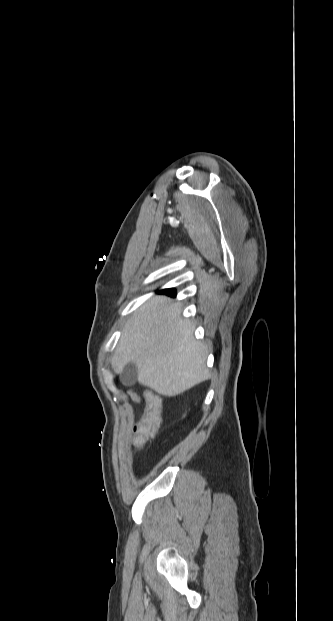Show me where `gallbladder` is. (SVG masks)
<instances>
[{
    "instance_id": "1",
    "label": "gallbladder",
    "mask_w": 333,
    "mask_h": 621,
    "mask_svg": "<svg viewBox=\"0 0 333 621\" xmlns=\"http://www.w3.org/2000/svg\"><path fill=\"white\" fill-rule=\"evenodd\" d=\"M138 369L132 362L127 363L120 372V380L126 386H132L137 380Z\"/></svg>"
}]
</instances>
